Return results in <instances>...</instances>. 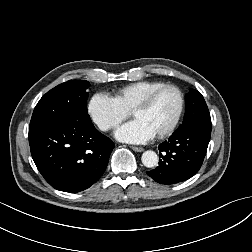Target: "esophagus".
Here are the masks:
<instances>
[{"label": "esophagus", "instance_id": "obj_1", "mask_svg": "<svg viewBox=\"0 0 252 252\" xmlns=\"http://www.w3.org/2000/svg\"><path fill=\"white\" fill-rule=\"evenodd\" d=\"M131 149L134 150L135 152H142V151H144V148L137 147V146H131Z\"/></svg>", "mask_w": 252, "mask_h": 252}]
</instances>
